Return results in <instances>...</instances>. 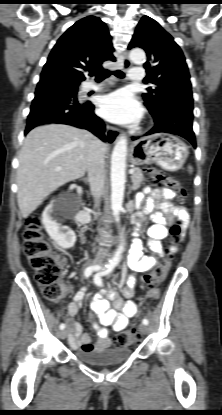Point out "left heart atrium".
<instances>
[{
  "label": "left heart atrium",
  "mask_w": 222,
  "mask_h": 415,
  "mask_svg": "<svg viewBox=\"0 0 222 415\" xmlns=\"http://www.w3.org/2000/svg\"><path fill=\"white\" fill-rule=\"evenodd\" d=\"M141 106L127 89L117 90L104 96L100 103L101 115L112 122L119 124H132L141 116Z\"/></svg>",
  "instance_id": "39dd6f15"
}]
</instances>
